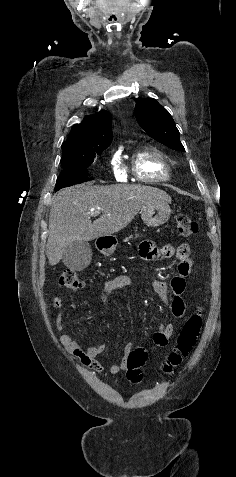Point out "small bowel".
<instances>
[{
    "mask_svg": "<svg viewBox=\"0 0 236 477\" xmlns=\"http://www.w3.org/2000/svg\"><path fill=\"white\" fill-rule=\"evenodd\" d=\"M176 255L179 260L178 274L173 277L171 281V291L173 298H170V288L167 283L160 279H153L150 283L153 291L161 298L165 303H169L171 311L174 317L182 318L185 314L186 308L183 300V294L185 292V277L190 274L193 261L190 257V248L187 244H181L175 249L171 243H166L161 247H158L152 241H144L140 245V256L145 260L155 259H169ZM131 283V278L128 275H119L111 279H107L102 287L100 294L101 303L109 307L112 303V296L117 291L127 287ZM53 306L60 309L63 306V300L61 297L56 296L53 299ZM56 327L59 331L64 329L63 316L59 314L56 317ZM174 332V324H162L159 329L153 335V350L165 347L172 337ZM61 344L77 357L84 366L90 367L96 372L103 371V365L97 359V357L104 352V344H94L91 347L85 349L81 347L74 339L65 333L59 335ZM132 344L127 343L123 347V357L118 363H114L109 367V374L116 375L120 371L127 367V358L131 351Z\"/></svg>",
    "mask_w": 236,
    "mask_h": 477,
    "instance_id": "c3829d8e",
    "label": "small bowel"
}]
</instances>
